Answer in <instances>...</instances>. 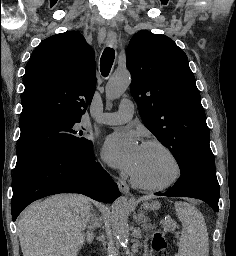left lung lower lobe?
Listing matches in <instances>:
<instances>
[{
	"instance_id": "1",
	"label": "left lung lower lobe",
	"mask_w": 236,
	"mask_h": 256,
	"mask_svg": "<svg viewBox=\"0 0 236 256\" xmlns=\"http://www.w3.org/2000/svg\"><path fill=\"white\" fill-rule=\"evenodd\" d=\"M155 195L197 198L209 204L215 212L219 211L220 186L215 170L188 169L181 173V177L170 190L165 193L157 192Z\"/></svg>"
}]
</instances>
